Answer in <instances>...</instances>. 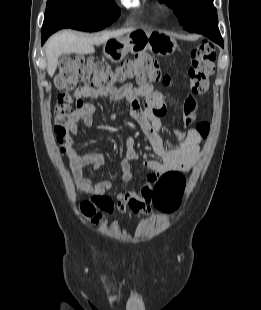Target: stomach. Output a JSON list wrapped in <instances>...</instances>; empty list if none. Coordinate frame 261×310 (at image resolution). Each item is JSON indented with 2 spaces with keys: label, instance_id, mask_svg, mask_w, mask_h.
Instances as JSON below:
<instances>
[{
  "label": "stomach",
  "instance_id": "0dacf381",
  "mask_svg": "<svg viewBox=\"0 0 261 310\" xmlns=\"http://www.w3.org/2000/svg\"><path fill=\"white\" fill-rule=\"evenodd\" d=\"M176 48V40L162 31L136 29L125 38H112L105 42L104 54L112 62H119L129 51L149 50L158 56H169Z\"/></svg>",
  "mask_w": 261,
  "mask_h": 310
}]
</instances>
